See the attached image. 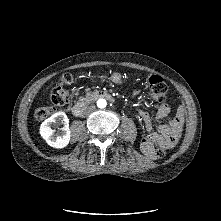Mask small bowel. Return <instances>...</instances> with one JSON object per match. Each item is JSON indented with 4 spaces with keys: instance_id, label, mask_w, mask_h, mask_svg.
Instances as JSON below:
<instances>
[{
    "instance_id": "small-bowel-1",
    "label": "small bowel",
    "mask_w": 221,
    "mask_h": 221,
    "mask_svg": "<svg viewBox=\"0 0 221 221\" xmlns=\"http://www.w3.org/2000/svg\"><path fill=\"white\" fill-rule=\"evenodd\" d=\"M169 112L170 106L166 102L161 103L156 112V119L158 121L165 120ZM138 113L147 132L141 142V148L146 155L152 156L154 144H160L165 140L169 141V147L174 146L180 136L184 120V109L182 107L177 109L172 121L161 123L157 129L154 128L153 121L144 108L138 107Z\"/></svg>"
}]
</instances>
